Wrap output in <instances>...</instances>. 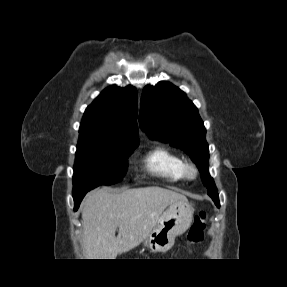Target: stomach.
<instances>
[{"instance_id":"stomach-1","label":"stomach","mask_w":287,"mask_h":287,"mask_svg":"<svg viewBox=\"0 0 287 287\" xmlns=\"http://www.w3.org/2000/svg\"><path fill=\"white\" fill-rule=\"evenodd\" d=\"M194 208L187 200H180L169 205L160 216L143 245L153 252H166L190 226Z\"/></svg>"}]
</instances>
